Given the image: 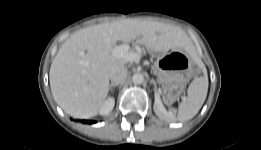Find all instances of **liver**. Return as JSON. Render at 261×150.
<instances>
[{
    "instance_id": "obj_1",
    "label": "liver",
    "mask_w": 261,
    "mask_h": 150,
    "mask_svg": "<svg viewBox=\"0 0 261 150\" xmlns=\"http://www.w3.org/2000/svg\"><path fill=\"white\" fill-rule=\"evenodd\" d=\"M137 39L153 52L193 47L180 28L155 21L123 19L83 28L69 37L52 61L49 81L54 100L67 114H98L109 90L110 70L128 61L112 54L117 41Z\"/></svg>"
}]
</instances>
